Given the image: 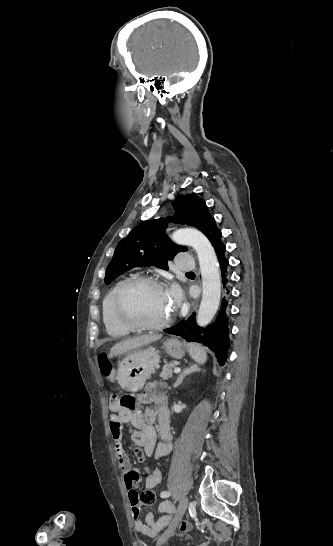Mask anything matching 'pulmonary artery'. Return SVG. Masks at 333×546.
Segmentation results:
<instances>
[{
  "mask_svg": "<svg viewBox=\"0 0 333 546\" xmlns=\"http://www.w3.org/2000/svg\"><path fill=\"white\" fill-rule=\"evenodd\" d=\"M176 266L184 271H189L194 268V262L188 254H179L176 258Z\"/></svg>",
  "mask_w": 333,
  "mask_h": 546,
  "instance_id": "1",
  "label": "pulmonary artery"
}]
</instances>
